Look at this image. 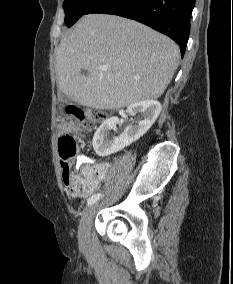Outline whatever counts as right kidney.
Listing matches in <instances>:
<instances>
[{"instance_id": "ca27d5eb", "label": "right kidney", "mask_w": 233, "mask_h": 284, "mask_svg": "<svg viewBox=\"0 0 233 284\" xmlns=\"http://www.w3.org/2000/svg\"><path fill=\"white\" fill-rule=\"evenodd\" d=\"M161 111V104L156 100H145L128 106V114H140L141 119L133 121L119 136L110 137V130L119 123L118 117L104 121L93 137V148L97 155L108 156L122 150L142 137L154 124Z\"/></svg>"}]
</instances>
